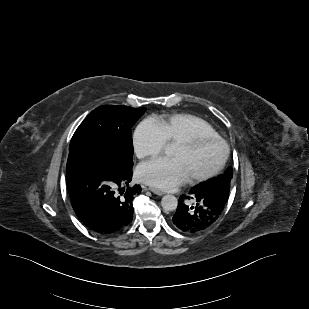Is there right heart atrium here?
I'll return each mask as SVG.
<instances>
[{
    "mask_svg": "<svg viewBox=\"0 0 309 309\" xmlns=\"http://www.w3.org/2000/svg\"><path fill=\"white\" fill-rule=\"evenodd\" d=\"M132 143L138 158L155 157L166 145L164 135L152 119L142 120L134 129Z\"/></svg>",
    "mask_w": 309,
    "mask_h": 309,
    "instance_id": "right-heart-atrium-1",
    "label": "right heart atrium"
}]
</instances>
